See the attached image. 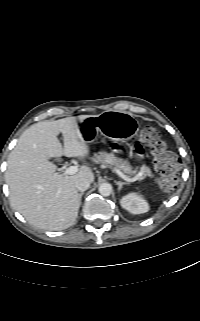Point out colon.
I'll return each mask as SVG.
<instances>
[{"label": "colon", "mask_w": 200, "mask_h": 321, "mask_svg": "<svg viewBox=\"0 0 200 321\" xmlns=\"http://www.w3.org/2000/svg\"><path fill=\"white\" fill-rule=\"evenodd\" d=\"M144 148L149 149L154 157V167L161 176L162 188L165 190L175 189L178 185V158L167 149L160 133L153 127H146L141 132L136 149L138 152H142Z\"/></svg>", "instance_id": "5ec220e1"}]
</instances>
